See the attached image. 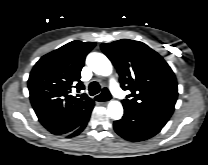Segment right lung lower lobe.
<instances>
[{
  "label": "right lung lower lobe",
  "instance_id": "right-lung-lower-lobe-1",
  "mask_svg": "<svg viewBox=\"0 0 208 165\" xmlns=\"http://www.w3.org/2000/svg\"><path fill=\"white\" fill-rule=\"evenodd\" d=\"M91 111L87 114L85 119L81 122V124L76 129H74L73 131H71L67 134H64L63 136L71 138V137L79 135L84 130V128L86 127L87 122H88L89 117H90V114H91Z\"/></svg>",
  "mask_w": 208,
  "mask_h": 165
}]
</instances>
